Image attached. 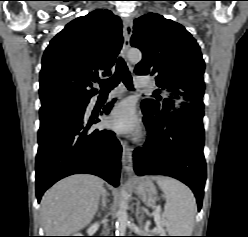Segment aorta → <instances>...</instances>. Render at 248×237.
Here are the masks:
<instances>
[{"label": "aorta", "instance_id": "aorta-1", "mask_svg": "<svg viewBox=\"0 0 248 237\" xmlns=\"http://www.w3.org/2000/svg\"><path fill=\"white\" fill-rule=\"evenodd\" d=\"M127 57L130 62L138 63L142 59V53L137 49H132L128 52ZM127 192L124 187L121 188V199L119 203V209L117 211V228L123 232L126 228L128 221L127 208L128 204L126 202Z\"/></svg>", "mask_w": 248, "mask_h": 237}]
</instances>
